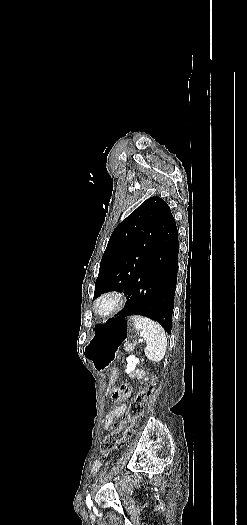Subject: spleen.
Listing matches in <instances>:
<instances>
[{"label": "spleen", "instance_id": "spleen-1", "mask_svg": "<svg viewBox=\"0 0 247 525\" xmlns=\"http://www.w3.org/2000/svg\"><path fill=\"white\" fill-rule=\"evenodd\" d=\"M132 321L135 323V327L141 335H143L146 347L144 353L153 363H159L164 359L167 347L166 333L155 321L147 319V317H138V315H133L131 317Z\"/></svg>", "mask_w": 247, "mask_h": 525}]
</instances>
